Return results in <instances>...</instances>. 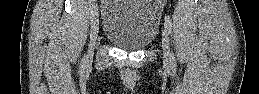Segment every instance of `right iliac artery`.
Segmentation results:
<instances>
[{
  "label": "right iliac artery",
  "mask_w": 259,
  "mask_h": 94,
  "mask_svg": "<svg viewBox=\"0 0 259 94\" xmlns=\"http://www.w3.org/2000/svg\"><path fill=\"white\" fill-rule=\"evenodd\" d=\"M92 1H93V0H91V2H90V14H91L90 19H91V21L93 22L94 16H95V10H96V8H95V5H94V3H93ZM82 63H83V64L86 63V58H85V57L82 59Z\"/></svg>",
  "instance_id": "obj_1"
}]
</instances>
